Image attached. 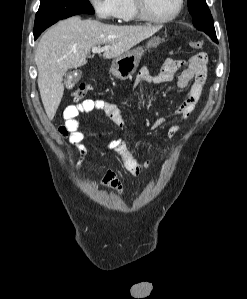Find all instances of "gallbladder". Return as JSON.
I'll list each match as a JSON object with an SVG mask.
<instances>
[{
  "mask_svg": "<svg viewBox=\"0 0 247 299\" xmlns=\"http://www.w3.org/2000/svg\"><path fill=\"white\" fill-rule=\"evenodd\" d=\"M81 78L80 71H70L65 75V86L67 89H71Z\"/></svg>",
  "mask_w": 247,
  "mask_h": 299,
  "instance_id": "bac80fb5",
  "label": "gallbladder"
}]
</instances>
